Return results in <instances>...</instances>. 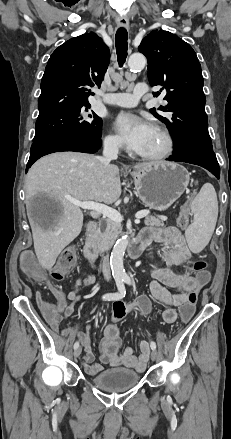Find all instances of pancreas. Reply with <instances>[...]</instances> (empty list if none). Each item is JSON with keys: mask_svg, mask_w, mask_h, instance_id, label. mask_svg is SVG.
Listing matches in <instances>:
<instances>
[{"mask_svg": "<svg viewBox=\"0 0 231 439\" xmlns=\"http://www.w3.org/2000/svg\"><path fill=\"white\" fill-rule=\"evenodd\" d=\"M144 223L147 226H164V221L155 216L146 217ZM121 232L122 226L120 222H114L109 218L106 219L105 223L95 233V242L99 250H108Z\"/></svg>", "mask_w": 231, "mask_h": 439, "instance_id": "cf45deb5", "label": "pancreas"}]
</instances>
